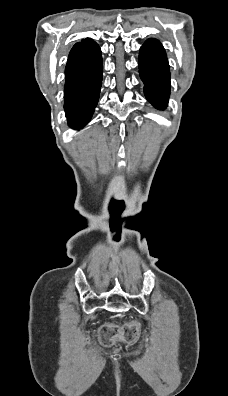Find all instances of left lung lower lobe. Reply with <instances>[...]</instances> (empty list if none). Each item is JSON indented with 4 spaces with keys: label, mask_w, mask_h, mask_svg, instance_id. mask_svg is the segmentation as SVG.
Here are the masks:
<instances>
[{
    "label": "left lung lower lobe",
    "mask_w": 228,
    "mask_h": 396,
    "mask_svg": "<svg viewBox=\"0 0 228 396\" xmlns=\"http://www.w3.org/2000/svg\"><path fill=\"white\" fill-rule=\"evenodd\" d=\"M139 73L147 100L156 108L164 109L170 95V70L165 50L158 40L149 39L140 48Z\"/></svg>",
    "instance_id": "left-lung-lower-lobe-1"
}]
</instances>
